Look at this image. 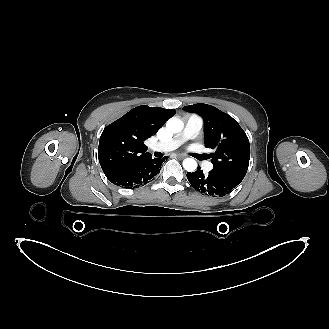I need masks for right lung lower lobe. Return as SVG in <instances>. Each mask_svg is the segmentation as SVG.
Returning a JSON list of instances; mask_svg holds the SVG:
<instances>
[{
    "label": "right lung lower lobe",
    "instance_id": "right-lung-lower-lobe-1",
    "mask_svg": "<svg viewBox=\"0 0 329 329\" xmlns=\"http://www.w3.org/2000/svg\"><path fill=\"white\" fill-rule=\"evenodd\" d=\"M166 158L167 157L153 159L149 157L126 170L106 175V177L114 185L133 189L151 181L158 174Z\"/></svg>",
    "mask_w": 329,
    "mask_h": 329
}]
</instances>
